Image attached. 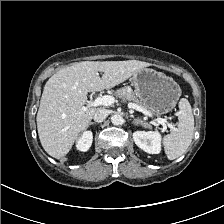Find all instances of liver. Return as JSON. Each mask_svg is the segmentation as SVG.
Returning a JSON list of instances; mask_svg holds the SVG:
<instances>
[{
	"mask_svg": "<svg viewBox=\"0 0 224 224\" xmlns=\"http://www.w3.org/2000/svg\"><path fill=\"white\" fill-rule=\"evenodd\" d=\"M150 66L138 60L83 61L63 68L44 86L37 113V130L44 150L60 159L68 154L99 108L85 111L88 92L113 88ZM98 72H102V77Z\"/></svg>",
	"mask_w": 224,
	"mask_h": 224,
	"instance_id": "1",
	"label": "liver"
}]
</instances>
